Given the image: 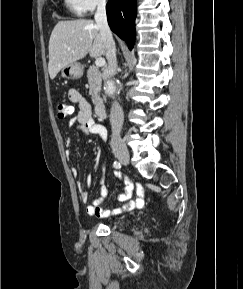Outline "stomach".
<instances>
[{
    "label": "stomach",
    "mask_w": 243,
    "mask_h": 289,
    "mask_svg": "<svg viewBox=\"0 0 243 289\" xmlns=\"http://www.w3.org/2000/svg\"><path fill=\"white\" fill-rule=\"evenodd\" d=\"M61 75L68 79H78L83 75V66L80 63H72L61 69Z\"/></svg>",
    "instance_id": "obj_1"
}]
</instances>
